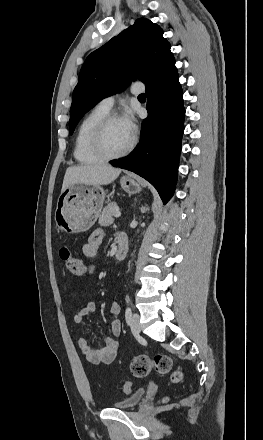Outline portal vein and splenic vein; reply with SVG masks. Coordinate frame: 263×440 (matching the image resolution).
I'll list each match as a JSON object with an SVG mask.
<instances>
[{"label":"portal vein and splenic vein","instance_id":"18ae733b","mask_svg":"<svg viewBox=\"0 0 263 440\" xmlns=\"http://www.w3.org/2000/svg\"><path fill=\"white\" fill-rule=\"evenodd\" d=\"M115 217H120L121 216V212L119 210H117L114 214Z\"/></svg>","mask_w":263,"mask_h":440}]
</instances>
